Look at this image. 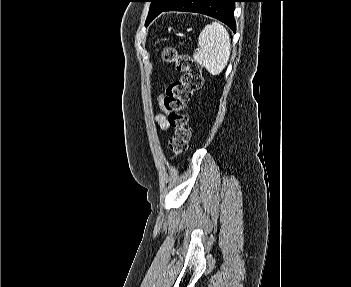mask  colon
Here are the masks:
<instances>
[{"mask_svg": "<svg viewBox=\"0 0 351 287\" xmlns=\"http://www.w3.org/2000/svg\"><path fill=\"white\" fill-rule=\"evenodd\" d=\"M163 57L165 61L173 63L176 70L181 73L180 79L167 87L164 98L168 123L174 130L169 141V151L174 158L186 152L188 148L190 130L185 108L193 94L201 89L203 78L200 65L189 55L167 48Z\"/></svg>", "mask_w": 351, "mask_h": 287, "instance_id": "5ec220e1", "label": "colon"}]
</instances>
